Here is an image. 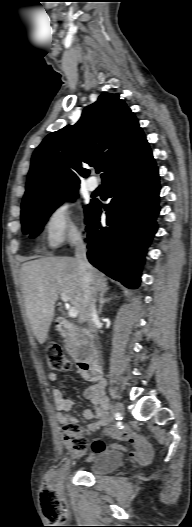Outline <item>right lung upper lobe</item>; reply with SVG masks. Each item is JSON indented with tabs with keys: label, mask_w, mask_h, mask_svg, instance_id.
Returning <instances> with one entry per match:
<instances>
[{
	"label": "right lung upper lobe",
	"mask_w": 192,
	"mask_h": 527,
	"mask_svg": "<svg viewBox=\"0 0 192 527\" xmlns=\"http://www.w3.org/2000/svg\"><path fill=\"white\" fill-rule=\"evenodd\" d=\"M146 142L133 112L118 94L104 93L80 120L50 133L32 156L22 207L79 187L84 166L102 165V179Z\"/></svg>",
	"instance_id": "cb5924a9"
}]
</instances>
